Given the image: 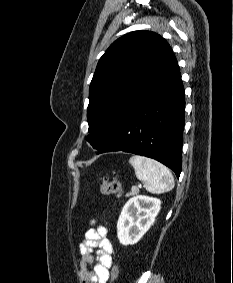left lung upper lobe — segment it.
<instances>
[{"label":"left lung upper lobe","instance_id":"obj_1","mask_svg":"<svg viewBox=\"0 0 233 283\" xmlns=\"http://www.w3.org/2000/svg\"><path fill=\"white\" fill-rule=\"evenodd\" d=\"M172 53L167 41L150 31L117 39L100 58L89 89L86 140L100 150L113 137L144 86Z\"/></svg>","mask_w":233,"mask_h":283}]
</instances>
